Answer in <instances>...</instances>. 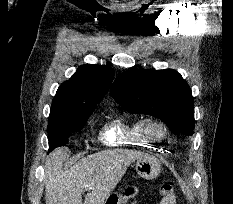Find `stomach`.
Returning a JSON list of instances; mask_svg holds the SVG:
<instances>
[{"label":"stomach","mask_w":233,"mask_h":204,"mask_svg":"<svg viewBox=\"0 0 233 204\" xmlns=\"http://www.w3.org/2000/svg\"><path fill=\"white\" fill-rule=\"evenodd\" d=\"M135 169L140 177L146 180H152L158 177L160 174L161 165L156 158L146 155L137 159L135 163ZM115 195L117 197L116 204H125L131 197L135 195V187L128 185L123 186ZM106 203L107 200L105 204Z\"/></svg>","instance_id":"0dacf381"}]
</instances>
